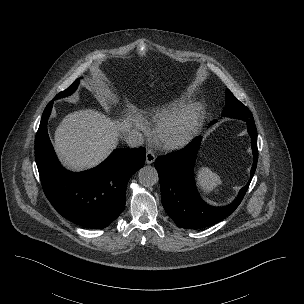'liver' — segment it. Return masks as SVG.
I'll return each instance as SVG.
<instances>
[{"label":"liver","mask_w":304,"mask_h":304,"mask_svg":"<svg viewBox=\"0 0 304 304\" xmlns=\"http://www.w3.org/2000/svg\"><path fill=\"white\" fill-rule=\"evenodd\" d=\"M128 110L135 107L127 103ZM131 118L114 121L95 109L69 113L55 131V150L70 170L91 168L104 160L116 148L121 132L129 131Z\"/></svg>","instance_id":"liver-1"}]
</instances>
